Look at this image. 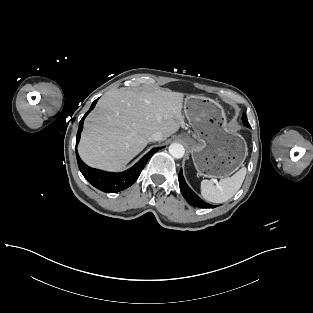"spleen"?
<instances>
[{
    "label": "spleen",
    "instance_id": "obj_1",
    "mask_svg": "<svg viewBox=\"0 0 313 313\" xmlns=\"http://www.w3.org/2000/svg\"><path fill=\"white\" fill-rule=\"evenodd\" d=\"M246 168L242 167L233 176L221 179L216 185L210 180L201 181L202 197L212 203H223L232 198L240 189L246 175Z\"/></svg>",
    "mask_w": 313,
    "mask_h": 313
}]
</instances>
